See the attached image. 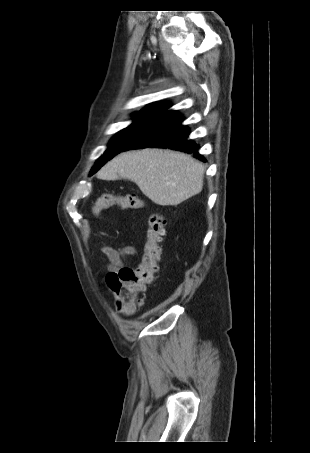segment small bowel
Segmentation results:
<instances>
[{"mask_svg":"<svg viewBox=\"0 0 310 453\" xmlns=\"http://www.w3.org/2000/svg\"><path fill=\"white\" fill-rule=\"evenodd\" d=\"M102 252L110 260L109 273H117L125 264V259L128 256H135L136 250L133 246L125 245L119 249H115L109 245L102 246Z\"/></svg>","mask_w":310,"mask_h":453,"instance_id":"obj_1","label":"small bowel"}]
</instances>
